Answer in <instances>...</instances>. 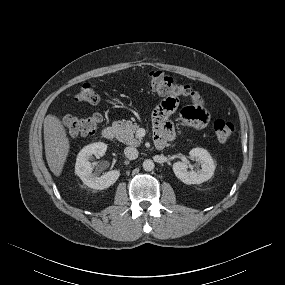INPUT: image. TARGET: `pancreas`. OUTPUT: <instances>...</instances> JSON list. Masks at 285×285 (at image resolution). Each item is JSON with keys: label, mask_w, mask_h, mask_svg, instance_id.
Wrapping results in <instances>:
<instances>
[{"label": "pancreas", "mask_w": 285, "mask_h": 285, "mask_svg": "<svg viewBox=\"0 0 285 285\" xmlns=\"http://www.w3.org/2000/svg\"><path fill=\"white\" fill-rule=\"evenodd\" d=\"M113 126L118 129L117 138L120 142L135 147L141 144L142 140L134 136L137 127L131 122L116 121Z\"/></svg>", "instance_id": "cf45deb5"}]
</instances>
